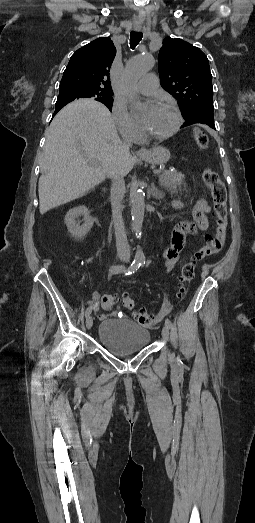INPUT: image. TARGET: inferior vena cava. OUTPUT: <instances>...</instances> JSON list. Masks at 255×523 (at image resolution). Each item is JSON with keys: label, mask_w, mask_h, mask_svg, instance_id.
Returning a JSON list of instances; mask_svg holds the SVG:
<instances>
[{"label": "inferior vena cava", "mask_w": 255, "mask_h": 523, "mask_svg": "<svg viewBox=\"0 0 255 523\" xmlns=\"http://www.w3.org/2000/svg\"><path fill=\"white\" fill-rule=\"evenodd\" d=\"M129 146H131L130 140H126L123 150L120 152L122 160H128V158H130ZM110 174L112 178V216L116 236V248L119 254H129V244L125 232L124 220L122 218V206L120 204L125 190L124 176H126V174L122 168H117V170H113Z\"/></svg>", "instance_id": "obj_1"}]
</instances>
